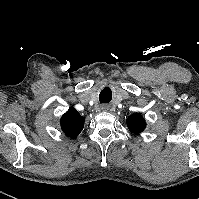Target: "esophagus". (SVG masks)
<instances>
[{
    "instance_id": "esophagus-1",
    "label": "esophagus",
    "mask_w": 199,
    "mask_h": 199,
    "mask_svg": "<svg viewBox=\"0 0 199 199\" xmlns=\"http://www.w3.org/2000/svg\"><path fill=\"white\" fill-rule=\"evenodd\" d=\"M102 109H103V110H108V107L105 106V105H103V106H102Z\"/></svg>"
}]
</instances>
